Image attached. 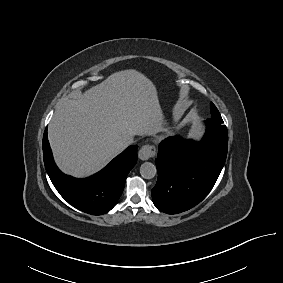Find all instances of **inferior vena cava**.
<instances>
[{
  "label": "inferior vena cava",
  "instance_id": "obj_1",
  "mask_svg": "<svg viewBox=\"0 0 283 283\" xmlns=\"http://www.w3.org/2000/svg\"><path fill=\"white\" fill-rule=\"evenodd\" d=\"M132 142H133V137L127 134L121 137L119 144L121 147H127Z\"/></svg>",
  "mask_w": 283,
  "mask_h": 283
}]
</instances>
